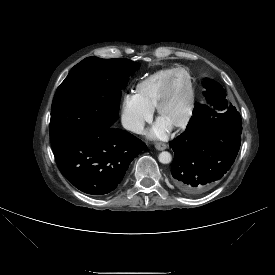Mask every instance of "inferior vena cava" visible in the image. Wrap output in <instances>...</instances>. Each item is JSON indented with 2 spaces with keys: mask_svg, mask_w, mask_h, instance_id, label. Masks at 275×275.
Instances as JSON below:
<instances>
[{
  "mask_svg": "<svg viewBox=\"0 0 275 275\" xmlns=\"http://www.w3.org/2000/svg\"><path fill=\"white\" fill-rule=\"evenodd\" d=\"M122 125L125 129L141 134L144 130V122L141 120L123 119Z\"/></svg>",
  "mask_w": 275,
  "mask_h": 275,
  "instance_id": "1",
  "label": "inferior vena cava"
}]
</instances>
